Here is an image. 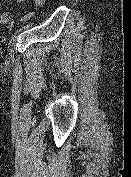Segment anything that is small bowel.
<instances>
[{
  "mask_svg": "<svg viewBox=\"0 0 131 177\" xmlns=\"http://www.w3.org/2000/svg\"><path fill=\"white\" fill-rule=\"evenodd\" d=\"M17 3H23L25 0H15ZM39 0H32L33 5L35 6V8H39L41 7L43 4H39L38 2ZM35 14V11H31V12H27L25 14H23L20 19L21 20H27L30 19L31 17H33ZM0 24H6L8 25L10 28L13 26V19H12V15L9 11H3L0 14Z\"/></svg>",
  "mask_w": 131,
  "mask_h": 177,
  "instance_id": "c3829d8e",
  "label": "small bowel"
}]
</instances>
